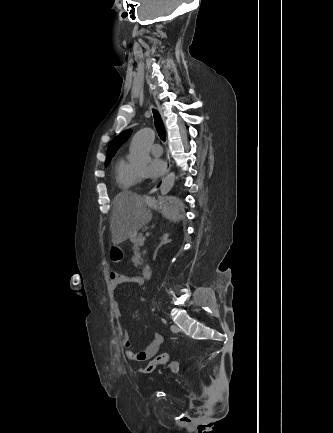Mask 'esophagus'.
<instances>
[{
    "instance_id": "34e87169",
    "label": "esophagus",
    "mask_w": 333,
    "mask_h": 433,
    "mask_svg": "<svg viewBox=\"0 0 333 433\" xmlns=\"http://www.w3.org/2000/svg\"><path fill=\"white\" fill-rule=\"evenodd\" d=\"M171 168V159H170V155L169 152H167V156H166V167H165V171L162 174L160 180L153 186V188L148 192V195L146 196V200H150V195L155 193L163 184L166 175L168 174V172L170 171Z\"/></svg>"
}]
</instances>
